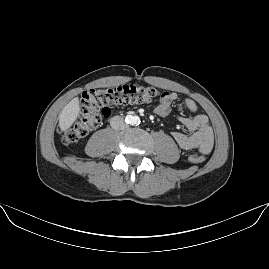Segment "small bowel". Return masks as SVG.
Here are the masks:
<instances>
[{"instance_id": "c3829d8e", "label": "small bowel", "mask_w": 269, "mask_h": 269, "mask_svg": "<svg viewBox=\"0 0 269 269\" xmlns=\"http://www.w3.org/2000/svg\"><path fill=\"white\" fill-rule=\"evenodd\" d=\"M178 100V94L170 91L163 94L159 104L155 108V113L165 117L171 113V105ZM183 108L190 112H196L197 105L191 99L183 101ZM180 123L190 132H172V137L178 146L184 150L196 149L200 154H207L214 145V131L206 115L200 114L193 117L178 116Z\"/></svg>"}]
</instances>
